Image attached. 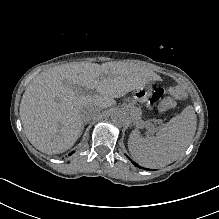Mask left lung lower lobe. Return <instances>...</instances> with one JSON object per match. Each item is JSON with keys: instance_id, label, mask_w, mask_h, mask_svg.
<instances>
[{"instance_id": "left-lung-lower-lobe-1", "label": "left lung lower lobe", "mask_w": 219, "mask_h": 219, "mask_svg": "<svg viewBox=\"0 0 219 219\" xmlns=\"http://www.w3.org/2000/svg\"><path fill=\"white\" fill-rule=\"evenodd\" d=\"M132 163H133V164H134L136 167H139V165H138V164H136L135 162H133V161H132Z\"/></svg>"}]
</instances>
